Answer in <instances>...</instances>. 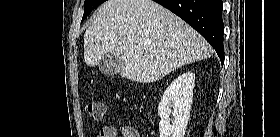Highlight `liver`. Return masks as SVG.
Segmentation results:
<instances>
[{
	"label": "liver",
	"mask_w": 280,
	"mask_h": 137,
	"mask_svg": "<svg viewBox=\"0 0 280 137\" xmlns=\"http://www.w3.org/2000/svg\"><path fill=\"white\" fill-rule=\"evenodd\" d=\"M124 60L121 76L152 83L173 70L210 57L209 43L174 13L152 0H108L84 35V61L105 54Z\"/></svg>",
	"instance_id": "1"
}]
</instances>
